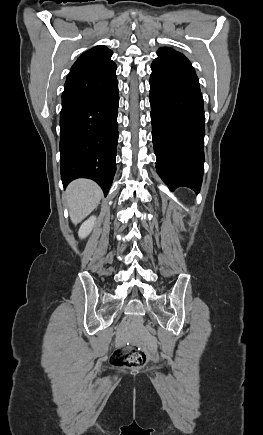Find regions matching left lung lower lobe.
<instances>
[{
	"label": "left lung lower lobe",
	"instance_id": "1",
	"mask_svg": "<svg viewBox=\"0 0 263 435\" xmlns=\"http://www.w3.org/2000/svg\"><path fill=\"white\" fill-rule=\"evenodd\" d=\"M150 104L156 170L170 190L199 193L204 165V108L195 73L159 59L151 65Z\"/></svg>",
	"mask_w": 263,
	"mask_h": 435
}]
</instances>
